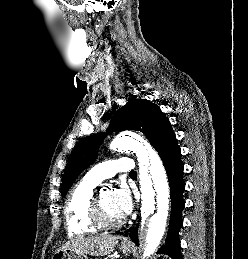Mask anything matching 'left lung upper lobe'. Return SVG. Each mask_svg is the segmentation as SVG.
Masks as SVG:
<instances>
[{
	"instance_id": "5c2ea615",
	"label": "left lung upper lobe",
	"mask_w": 248,
	"mask_h": 259,
	"mask_svg": "<svg viewBox=\"0 0 248 259\" xmlns=\"http://www.w3.org/2000/svg\"><path fill=\"white\" fill-rule=\"evenodd\" d=\"M123 130L141 131L157 151L176 140L171 124L159 106L146 99H132L114 114L108 133ZM104 137V133H98L83 138L76 145L63 174V197L80 173L95 161Z\"/></svg>"
}]
</instances>
